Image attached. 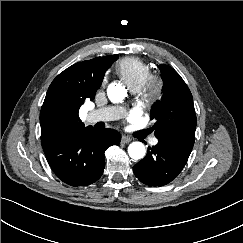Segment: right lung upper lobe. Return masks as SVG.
Here are the masks:
<instances>
[{
    "mask_svg": "<svg viewBox=\"0 0 243 243\" xmlns=\"http://www.w3.org/2000/svg\"><path fill=\"white\" fill-rule=\"evenodd\" d=\"M117 57L78 62L52 81L40 112L41 142L87 128L78 116L79 108L85 99H94L106 70Z\"/></svg>",
    "mask_w": 243,
    "mask_h": 243,
    "instance_id": "1",
    "label": "right lung upper lobe"
}]
</instances>
